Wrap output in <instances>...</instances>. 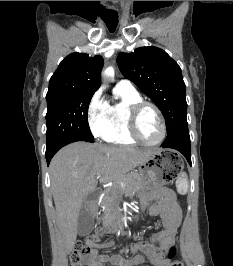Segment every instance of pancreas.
<instances>
[{"label":"pancreas","mask_w":233,"mask_h":266,"mask_svg":"<svg viewBox=\"0 0 233 266\" xmlns=\"http://www.w3.org/2000/svg\"><path fill=\"white\" fill-rule=\"evenodd\" d=\"M121 183L125 186L121 187ZM143 186V181L138 173H133L129 176H125L120 181L108 189L101 201V207L104 212L103 221L107 223L114 217V211L119 205L122 195L126 196L133 195L137 190Z\"/></svg>","instance_id":"cf45deb5"}]
</instances>
